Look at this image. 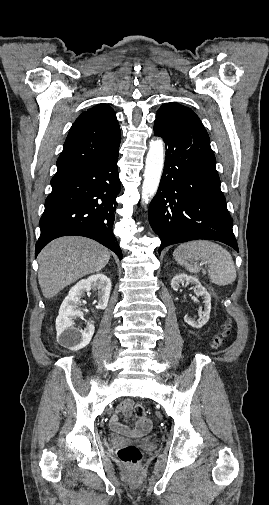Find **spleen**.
I'll return each mask as SVG.
<instances>
[{
	"label": "spleen",
	"instance_id": "obj_1",
	"mask_svg": "<svg viewBox=\"0 0 269 505\" xmlns=\"http://www.w3.org/2000/svg\"><path fill=\"white\" fill-rule=\"evenodd\" d=\"M173 257L193 274L203 270L197 261H204L211 281L219 286L231 284L237 276L231 254L221 245L208 240L182 243L173 252Z\"/></svg>",
	"mask_w": 269,
	"mask_h": 505
}]
</instances>
